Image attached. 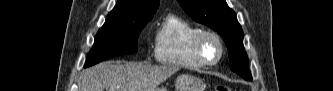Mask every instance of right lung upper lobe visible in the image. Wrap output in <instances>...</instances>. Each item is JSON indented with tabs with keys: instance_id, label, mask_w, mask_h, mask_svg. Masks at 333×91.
<instances>
[{
	"instance_id": "1",
	"label": "right lung upper lobe",
	"mask_w": 333,
	"mask_h": 91,
	"mask_svg": "<svg viewBox=\"0 0 333 91\" xmlns=\"http://www.w3.org/2000/svg\"><path fill=\"white\" fill-rule=\"evenodd\" d=\"M159 0H118L108 14L106 21H133L152 18L158 8Z\"/></svg>"
}]
</instances>
